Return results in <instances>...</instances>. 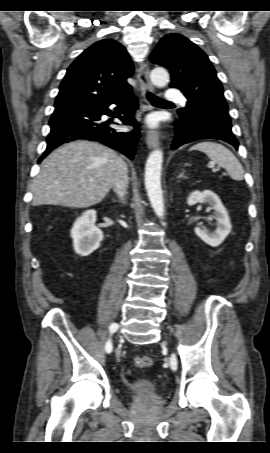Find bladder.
<instances>
[{"label":"bladder","instance_id":"obj_1","mask_svg":"<svg viewBox=\"0 0 270 453\" xmlns=\"http://www.w3.org/2000/svg\"><path fill=\"white\" fill-rule=\"evenodd\" d=\"M128 392L132 396L158 397L159 387L148 379H137L128 386Z\"/></svg>","mask_w":270,"mask_h":453}]
</instances>
